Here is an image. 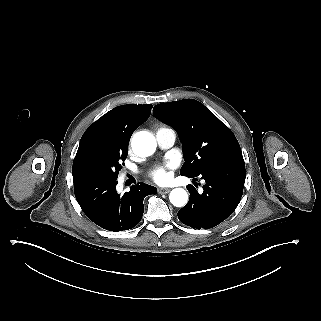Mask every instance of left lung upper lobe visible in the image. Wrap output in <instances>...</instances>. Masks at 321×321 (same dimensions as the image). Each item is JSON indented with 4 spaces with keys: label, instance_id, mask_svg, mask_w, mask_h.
Here are the masks:
<instances>
[{
    "label": "left lung upper lobe",
    "instance_id": "left-lung-upper-lobe-1",
    "mask_svg": "<svg viewBox=\"0 0 321 321\" xmlns=\"http://www.w3.org/2000/svg\"><path fill=\"white\" fill-rule=\"evenodd\" d=\"M154 116L173 127L182 142L184 164L180 174L196 176L207 165L242 156L232 131L202 103L185 99L158 104Z\"/></svg>",
    "mask_w": 321,
    "mask_h": 321
}]
</instances>
